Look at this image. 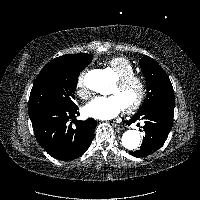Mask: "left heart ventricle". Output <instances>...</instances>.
Masks as SVG:
<instances>
[{"instance_id":"left-heart-ventricle-1","label":"left heart ventricle","mask_w":200,"mask_h":200,"mask_svg":"<svg viewBox=\"0 0 200 200\" xmlns=\"http://www.w3.org/2000/svg\"><path fill=\"white\" fill-rule=\"evenodd\" d=\"M139 89L136 84H131L124 88H119L116 84L112 87L109 94L116 96L122 107L130 106L138 97Z\"/></svg>"}]
</instances>
